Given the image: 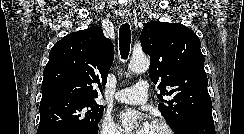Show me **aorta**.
<instances>
[{"mask_svg": "<svg viewBox=\"0 0 244 134\" xmlns=\"http://www.w3.org/2000/svg\"><path fill=\"white\" fill-rule=\"evenodd\" d=\"M150 65V60L146 56H138V57H132L130 60V63L128 65L129 71L131 73L139 74L147 71ZM123 126L125 127H131L132 122L125 121L123 122Z\"/></svg>", "mask_w": 244, "mask_h": 134, "instance_id": "aorta-1", "label": "aorta"}]
</instances>
